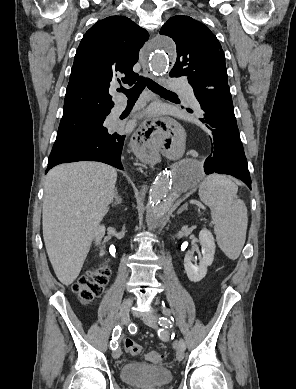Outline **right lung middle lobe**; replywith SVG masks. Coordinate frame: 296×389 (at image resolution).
<instances>
[{"mask_svg":"<svg viewBox=\"0 0 296 389\" xmlns=\"http://www.w3.org/2000/svg\"><path fill=\"white\" fill-rule=\"evenodd\" d=\"M109 113L103 114H76L62 117L54 144L82 138L94 133L107 130L103 126Z\"/></svg>","mask_w":296,"mask_h":389,"instance_id":"1","label":"right lung middle lobe"}]
</instances>
